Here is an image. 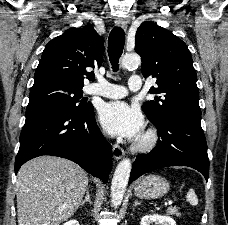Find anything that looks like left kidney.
<instances>
[{
    "label": "left kidney",
    "instance_id": "obj_1",
    "mask_svg": "<svg viewBox=\"0 0 228 225\" xmlns=\"http://www.w3.org/2000/svg\"><path fill=\"white\" fill-rule=\"evenodd\" d=\"M176 225L174 219L167 217V215H145L140 221V225Z\"/></svg>",
    "mask_w": 228,
    "mask_h": 225
}]
</instances>
